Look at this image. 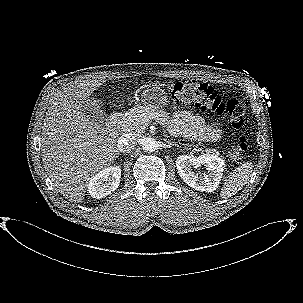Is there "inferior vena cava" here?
I'll return each mask as SVG.
<instances>
[{"label":"inferior vena cava","mask_w":303,"mask_h":303,"mask_svg":"<svg viewBox=\"0 0 303 303\" xmlns=\"http://www.w3.org/2000/svg\"><path fill=\"white\" fill-rule=\"evenodd\" d=\"M117 147L120 152H130L133 148V139L130 134H123L118 138Z\"/></svg>","instance_id":"obj_1"}]
</instances>
